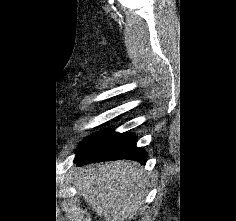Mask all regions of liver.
<instances>
[{
  "label": "liver",
  "mask_w": 236,
  "mask_h": 221,
  "mask_svg": "<svg viewBox=\"0 0 236 221\" xmlns=\"http://www.w3.org/2000/svg\"><path fill=\"white\" fill-rule=\"evenodd\" d=\"M72 174L79 195L105 221H130L142 209L147 178L137 163L104 162Z\"/></svg>",
  "instance_id": "liver-1"
}]
</instances>
